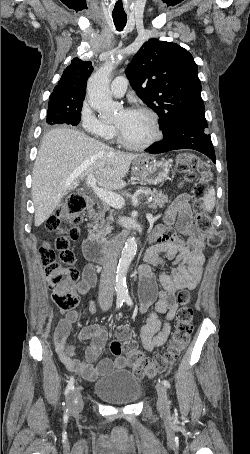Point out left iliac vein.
<instances>
[{"instance_id":"1","label":"left iliac vein","mask_w":250,"mask_h":454,"mask_svg":"<svg viewBox=\"0 0 250 454\" xmlns=\"http://www.w3.org/2000/svg\"><path fill=\"white\" fill-rule=\"evenodd\" d=\"M156 390L158 393V402H157L158 410L162 414H167L169 412V400H168L166 387L163 384L158 382L156 384Z\"/></svg>"}]
</instances>
